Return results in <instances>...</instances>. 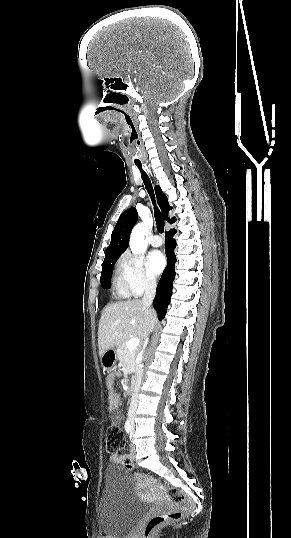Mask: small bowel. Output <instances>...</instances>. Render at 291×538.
<instances>
[{"label": "small bowel", "instance_id": "obj_1", "mask_svg": "<svg viewBox=\"0 0 291 538\" xmlns=\"http://www.w3.org/2000/svg\"><path fill=\"white\" fill-rule=\"evenodd\" d=\"M114 381H115L114 374H110L106 379V383L108 387V408L111 413L112 419L114 421H119L120 415L118 412V406H119L120 398L113 387ZM134 458H135V448L133 446H130L129 453L125 455H119V454L112 455L110 457V461L112 463L119 464V463H123L127 459L133 460Z\"/></svg>", "mask_w": 291, "mask_h": 538}]
</instances>
